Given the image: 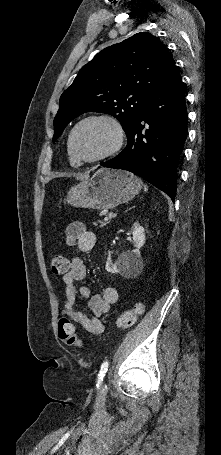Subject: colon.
I'll list each match as a JSON object with an SVG mask.
<instances>
[{"instance_id": "5ec220e1", "label": "colon", "mask_w": 221, "mask_h": 455, "mask_svg": "<svg viewBox=\"0 0 221 455\" xmlns=\"http://www.w3.org/2000/svg\"><path fill=\"white\" fill-rule=\"evenodd\" d=\"M50 267L54 274L65 275L70 269V262L61 255H53L50 259ZM142 303H136L131 309L122 312L115 321L119 328L133 327L138 317L143 313ZM59 338L69 346L80 347L82 341L76 334L73 323L67 317H61L58 324Z\"/></svg>"}]
</instances>
